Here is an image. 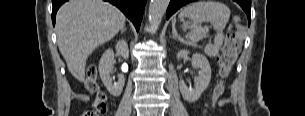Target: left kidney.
<instances>
[{"mask_svg": "<svg viewBox=\"0 0 305 116\" xmlns=\"http://www.w3.org/2000/svg\"><path fill=\"white\" fill-rule=\"evenodd\" d=\"M189 51L181 50L177 53V59L188 57ZM191 63L194 67L199 68V76L195 78L194 89L188 88L184 81L179 82V89L183 98L193 103L197 101L201 94L207 89L211 80V67L208 59L201 53H194L192 56Z\"/></svg>", "mask_w": 305, "mask_h": 116, "instance_id": "left-kidney-1", "label": "left kidney"}]
</instances>
